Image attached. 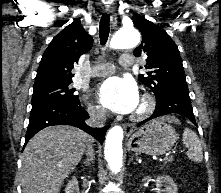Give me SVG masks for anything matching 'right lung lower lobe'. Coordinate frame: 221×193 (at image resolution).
<instances>
[{"label":"right lung lower lobe","instance_id":"right-lung-lower-lobe-1","mask_svg":"<svg viewBox=\"0 0 221 193\" xmlns=\"http://www.w3.org/2000/svg\"><path fill=\"white\" fill-rule=\"evenodd\" d=\"M89 118L87 111L80 106V102L51 101L32 105L30 122L25 135V145L40 130L52 125H72L78 127L103 143L107 129L92 128L86 125Z\"/></svg>","mask_w":221,"mask_h":193}]
</instances>
